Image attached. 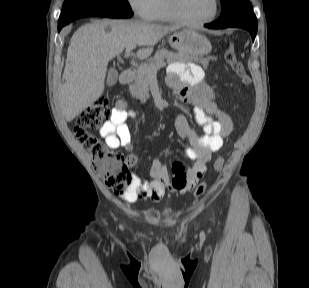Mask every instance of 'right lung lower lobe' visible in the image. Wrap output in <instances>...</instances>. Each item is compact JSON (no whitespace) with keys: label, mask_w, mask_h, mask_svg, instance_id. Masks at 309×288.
Returning <instances> with one entry per match:
<instances>
[{"label":"right lung lower lobe","mask_w":309,"mask_h":288,"mask_svg":"<svg viewBox=\"0 0 309 288\" xmlns=\"http://www.w3.org/2000/svg\"><path fill=\"white\" fill-rule=\"evenodd\" d=\"M132 11L119 10V9H93L89 10L78 17L74 18L76 20L78 18L88 17V16H102V17H110V18H130L132 17ZM72 20V21H73ZM65 25L58 26V31L62 29Z\"/></svg>","instance_id":"right-lung-lower-lobe-1"}]
</instances>
